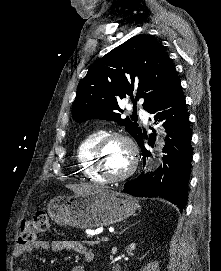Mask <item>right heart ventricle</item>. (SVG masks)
Listing matches in <instances>:
<instances>
[{
	"label": "right heart ventricle",
	"instance_id": "e07e8e85",
	"mask_svg": "<svg viewBox=\"0 0 221 271\" xmlns=\"http://www.w3.org/2000/svg\"><path fill=\"white\" fill-rule=\"evenodd\" d=\"M104 132L94 130L85 135L77 146V160L80 164L81 176L83 179H94V183H108V178H102V174L96 173L94 159L95 156L91 154L92 150H96V144H101V139Z\"/></svg>",
	"mask_w": 221,
	"mask_h": 271
}]
</instances>
